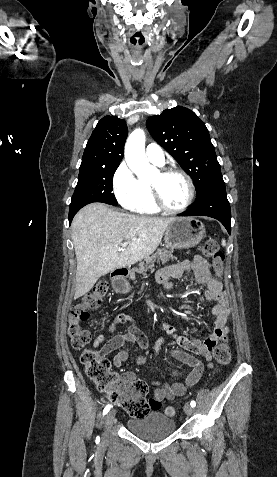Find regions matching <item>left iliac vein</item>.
<instances>
[{
	"instance_id": "4c4485c4",
	"label": "left iliac vein",
	"mask_w": 277,
	"mask_h": 477,
	"mask_svg": "<svg viewBox=\"0 0 277 477\" xmlns=\"http://www.w3.org/2000/svg\"><path fill=\"white\" fill-rule=\"evenodd\" d=\"M184 411H185V413H186L187 415H191V414L194 412V409H193V407H192L191 405L186 404V405L184 406Z\"/></svg>"
}]
</instances>
